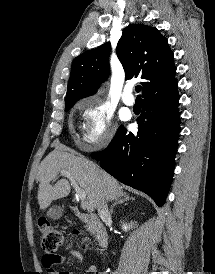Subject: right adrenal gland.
Here are the masks:
<instances>
[{"instance_id": "right-adrenal-gland-1", "label": "right adrenal gland", "mask_w": 215, "mask_h": 274, "mask_svg": "<svg viewBox=\"0 0 215 274\" xmlns=\"http://www.w3.org/2000/svg\"><path fill=\"white\" fill-rule=\"evenodd\" d=\"M130 199H133V198H130L128 195L124 194V196H123L122 199L115 201V203L111 206V208H110V214H113V209H114V207L116 205L123 204L124 202H126V201H128Z\"/></svg>"}]
</instances>
